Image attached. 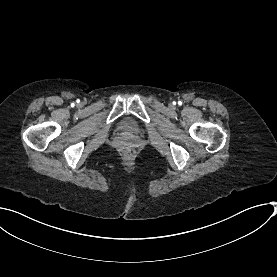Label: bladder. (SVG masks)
Listing matches in <instances>:
<instances>
[{
  "instance_id": "31cf9c89",
  "label": "bladder",
  "mask_w": 277,
  "mask_h": 277,
  "mask_svg": "<svg viewBox=\"0 0 277 277\" xmlns=\"http://www.w3.org/2000/svg\"><path fill=\"white\" fill-rule=\"evenodd\" d=\"M120 132L126 135H138L140 133V128L137 120L133 117L125 118L121 122Z\"/></svg>"
}]
</instances>
